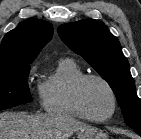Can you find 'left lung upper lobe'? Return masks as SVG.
Returning <instances> with one entry per match:
<instances>
[{
    "label": "left lung upper lobe",
    "mask_w": 141,
    "mask_h": 139,
    "mask_svg": "<svg viewBox=\"0 0 141 139\" xmlns=\"http://www.w3.org/2000/svg\"><path fill=\"white\" fill-rule=\"evenodd\" d=\"M58 34L108 82L126 124L133 130H141V100L136 94L129 63L107 26L99 20L86 19L59 26Z\"/></svg>",
    "instance_id": "obj_1"
}]
</instances>
